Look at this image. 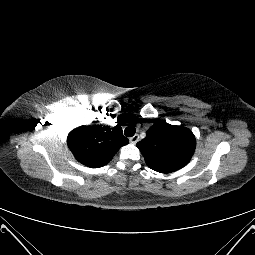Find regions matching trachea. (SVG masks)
<instances>
[{
    "instance_id": "obj_1",
    "label": "trachea",
    "mask_w": 255,
    "mask_h": 255,
    "mask_svg": "<svg viewBox=\"0 0 255 255\" xmlns=\"http://www.w3.org/2000/svg\"><path fill=\"white\" fill-rule=\"evenodd\" d=\"M135 132H136V129H135L134 126H128V127H126L125 130H124V134H125L127 137H132V136H134Z\"/></svg>"
}]
</instances>
